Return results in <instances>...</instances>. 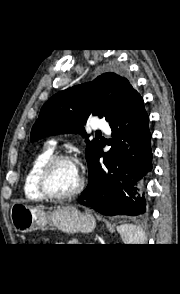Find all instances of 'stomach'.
<instances>
[{"instance_id":"obj_1","label":"stomach","mask_w":180,"mask_h":294,"mask_svg":"<svg viewBox=\"0 0 180 294\" xmlns=\"http://www.w3.org/2000/svg\"><path fill=\"white\" fill-rule=\"evenodd\" d=\"M11 221L21 233L43 230L48 222L65 233L90 232L95 227L92 215L71 206L58 207L48 214L39 206L15 203L11 207Z\"/></svg>"}]
</instances>
